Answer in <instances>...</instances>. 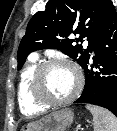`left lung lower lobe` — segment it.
<instances>
[{
	"label": "left lung lower lobe",
	"mask_w": 117,
	"mask_h": 131,
	"mask_svg": "<svg viewBox=\"0 0 117 131\" xmlns=\"http://www.w3.org/2000/svg\"><path fill=\"white\" fill-rule=\"evenodd\" d=\"M94 52L93 62L89 60L83 68L86 76L83 93L74 103L98 105L117 116V12L113 4Z\"/></svg>",
	"instance_id": "1"
}]
</instances>
